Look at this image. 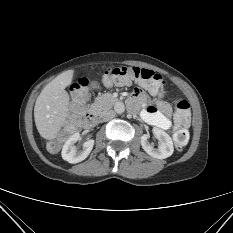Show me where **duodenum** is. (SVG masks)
Wrapping results in <instances>:
<instances>
[{"label":"duodenum","instance_id":"1","mask_svg":"<svg viewBox=\"0 0 233 233\" xmlns=\"http://www.w3.org/2000/svg\"><path fill=\"white\" fill-rule=\"evenodd\" d=\"M96 122H97V114L95 113V111H89L86 114L85 126L87 128H91L96 124Z\"/></svg>","mask_w":233,"mask_h":233}]
</instances>
